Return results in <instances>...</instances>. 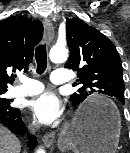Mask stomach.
<instances>
[{"instance_id":"1","label":"stomach","mask_w":130,"mask_h":153,"mask_svg":"<svg viewBox=\"0 0 130 153\" xmlns=\"http://www.w3.org/2000/svg\"><path fill=\"white\" fill-rule=\"evenodd\" d=\"M86 108H96L98 113L84 119L82 112ZM121 128L120 113L112 101L91 99L62 130L58 146L74 153H115Z\"/></svg>"}]
</instances>
